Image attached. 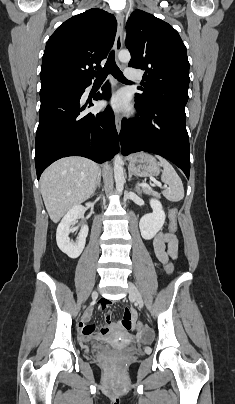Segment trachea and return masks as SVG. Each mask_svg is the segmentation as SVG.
Wrapping results in <instances>:
<instances>
[{
  "mask_svg": "<svg viewBox=\"0 0 235 404\" xmlns=\"http://www.w3.org/2000/svg\"><path fill=\"white\" fill-rule=\"evenodd\" d=\"M110 72L118 81L129 82L115 63L114 51L110 52L105 66L100 71L95 72L96 81H104Z\"/></svg>",
  "mask_w": 235,
  "mask_h": 404,
  "instance_id": "1",
  "label": "trachea"
}]
</instances>
